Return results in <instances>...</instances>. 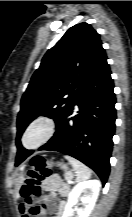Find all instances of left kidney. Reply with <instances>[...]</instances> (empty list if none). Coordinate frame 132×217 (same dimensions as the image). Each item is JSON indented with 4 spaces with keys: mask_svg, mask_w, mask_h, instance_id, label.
<instances>
[{
    "mask_svg": "<svg viewBox=\"0 0 132 217\" xmlns=\"http://www.w3.org/2000/svg\"><path fill=\"white\" fill-rule=\"evenodd\" d=\"M99 180H88L78 183L69 194L62 217H88L94 208L99 195ZM81 201L80 208L72 209Z\"/></svg>",
    "mask_w": 132,
    "mask_h": 217,
    "instance_id": "5707ae66",
    "label": "left kidney"
}]
</instances>
